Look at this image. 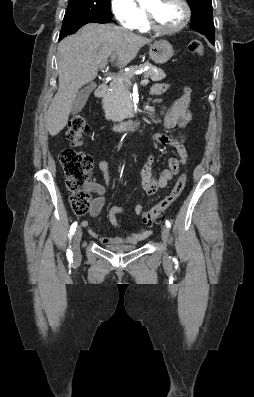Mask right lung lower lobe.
<instances>
[{
  "mask_svg": "<svg viewBox=\"0 0 254 397\" xmlns=\"http://www.w3.org/2000/svg\"><path fill=\"white\" fill-rule=\"evenodd\" d=\"M110 19H104V20H97V19H91L87 17H78V16H73V17H64L60 36H59V41L62 40L64 37L75 33L81 26L87 24V23H106Z\"/></svg>",
  "mask_w": 254,
  "mask_h": 397,
  "instance_id": "1",
  "label": "right lung lower lobe"
}]
</instances>
